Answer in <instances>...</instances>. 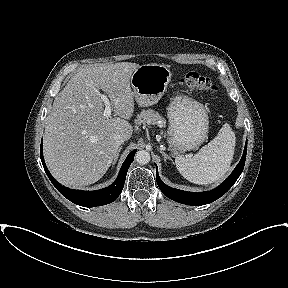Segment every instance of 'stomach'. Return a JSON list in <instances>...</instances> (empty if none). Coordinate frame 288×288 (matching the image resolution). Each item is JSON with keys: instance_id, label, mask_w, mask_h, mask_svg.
Returning <instances> with one entry per match:
<instances>
[{"instance_id": "1", "label": "stomach", "mask_w": 288, "mask_h": 288, "mask_svg": "<svg viewBox=\"0 0 288 288\" xmlns=\"http://www.w3.org/2000/svg\"><path fill=\"white\" fill-rule=\"evenodd\" d=\"M172 73L164 64H144L132 74L130 84L134 98L141 107L156 104L164 95ZM169 128L167 136L171 150L183 153L200 146L209 129L208 114L196 100L177 95L167 108Z\"/></svg>"}]
</instances>
